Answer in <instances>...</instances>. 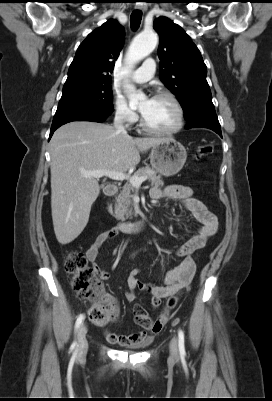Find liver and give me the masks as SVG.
<instances>
[{
	"label": "liver",
	"mask_w": 272,
	"mask_h": 401,
	"mask_svg": "<svg viewBox=\"0 0 272 401\" xmlns=\"http://www.w3.org/2000/svg\"><path fill=\"white\" fill-rule=\"evenodd\" d=\"M162 138H132L114 127L89 121L67 123L50 141L51 210L54 232L60 244L75 240L88 223L93 202L100 193L97 178L82 171L126 172L140 162Z\"/></svg>",
	"instance_id": "liver-1"
}]
</instances>
